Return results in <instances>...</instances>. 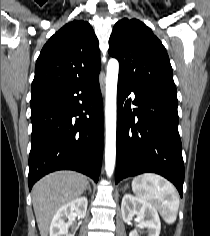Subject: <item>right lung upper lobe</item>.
Masks as SVG:
<instances>
[{
  "instance_id": "cb5924a9",
  "label": "right lung upper lobe",
  "mask_w": 210,
  "mask_h": 236,
  "mask_svg": "<svg viewBox=\"0 0 210 236\" xmlns=\"http://www.w3.org/2000/svg\"><path fill=\"white\" fill-rule=\"evenodd\" d=\"M101 68L98 40L88 22L74 20L44 45L35 66L31 91L63 89L89 79Z\"/></svg>"
}]
</instances>
